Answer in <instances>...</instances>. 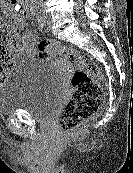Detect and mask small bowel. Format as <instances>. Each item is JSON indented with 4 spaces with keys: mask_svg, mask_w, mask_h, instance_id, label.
<instances>
[{
    "mask_svg": "<svg viewBox=\"0 0 133 173\" xmlns=\"http://www.w3.org/2000/svg\"><path fill=\"white\" fill-rule=\"evenodd\" d=\"M12 4V2H11ZM13 6H16L12 4ZM14 20L17 25L21 24L22 17L15 15ZM11 55L18 57H32L36 53V38L34 34L27 31L23 34L15 32L14 41L10 44L8 49Z\"/></svg>",
    "mask_w": 133,
    "mask_h": 173,
    "instance_id": "small-bowel-1",
    "label": "small bowel"
}]
</instances>
